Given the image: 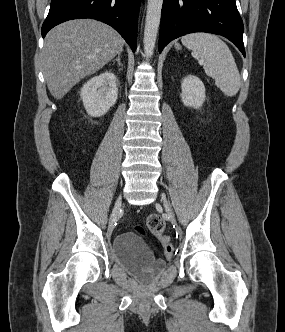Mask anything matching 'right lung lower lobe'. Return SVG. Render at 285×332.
I'll return each mask as SVG.
<instances>
[{"instance_id": "98d812e1", "label": "right lung lower lobe", "mask_w": 285, "mask_h": 332, "mask_svg": "<svg viewBox=\"0 0 285 332\" xmlns=\"http://www.w3.org/2000/svg\"><path fill=\"white\" fill-rule=\"evenodd\" d=\"M141 0H52L42 25L43 38L54 26L71 19L92 18L117 30L136 50L137 20Z\"/></svg>"}]
</instances>
